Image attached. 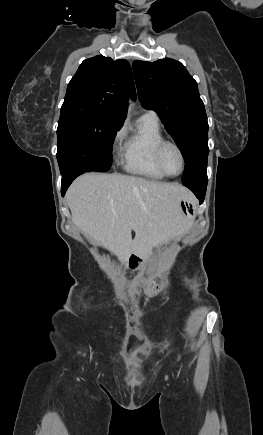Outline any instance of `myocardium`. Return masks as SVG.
<instances>
[{
	"instance_id": "myocardium-1",
	"label": "myocardium",
	"mask_w": 263,
	"mask_h": 435,
	"mask_svg": "<svg viewBox=\"0 0 263 435\" xmlns=\"http://www.w3.org/2000/svg\"><path fill=\"white\" fill-rule=\"evenodd\" d=\"M168 146L174 147L178 151L180 158H181V170L177 174H170L169 172H167V170L165 169V167L163 165L162 155H163L165 148ZM155 162H156L158 169L167 177H177V176L181 175L184 172L185 167H186V159H185V154H184L183 149L181 148V146L177 142L172 141V140H165L164 139L163 141H161L157 145L156 150H155Z\"/></svg>"
}]
</instances>
